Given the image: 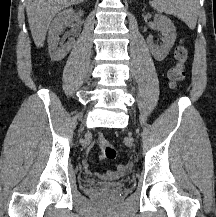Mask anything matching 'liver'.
Segmentation results:
<instances>
[{"label": "liver", "instance_id": "obj_1", "mask_svg": "<svg viewBox=\"0 0 216 217\" xmlns=\"http://www.w3.org/2000/svg\"><path fill=\"white\" fill-rule=\"evenodd\" d=\"M84 0H26L30 31L37 47H42L53 17L62 9Z\"/></svg>", "mask_w": 216, "mask_h": 217}]
</instances>
